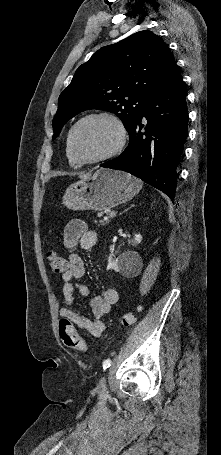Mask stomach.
<instances>
[{
    "mask_svg": "<svg viewBox=\"0 0 221 455\" xmlns=\"http://www.w3.org/2000/svg\"><path fill=\"white\" fill-rule=\"evenodd\" d=\"M141 188V181L130 174L102 168L71 184L62 202L72 210H110L131 200Z\"/></svg>",
    "mask_w": 221,
    "mask_h": 455,
    "instance_id": "stomach-1",
    "label": "stomach"
}]
</instances>
